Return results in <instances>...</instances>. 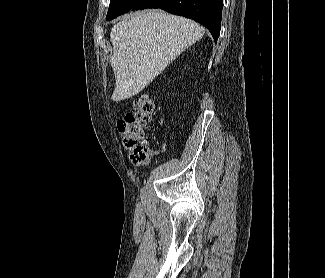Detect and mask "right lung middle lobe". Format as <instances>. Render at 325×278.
I'll list each match as a JSON object with an SVG mask.
<instances>
[{
	"mask_svg": "<svg viewBox=\"0 0 325 278\" xmlns=\"http://www.w3.org/2000/svg\"><path fill=\"white\" fill-rule=\"evenodd\" d=\"M136 0H110V6L107 13V20H112L130 11Z\"/></svg>",
	"mask_w": 325,
	"mask_h": 278,
	"instance_id": "dd1d6c3e",
	"label": "right lung middle lobe"
}]
</instances>
